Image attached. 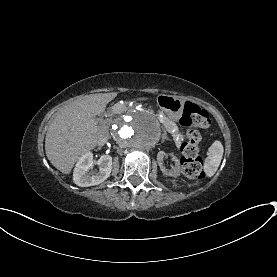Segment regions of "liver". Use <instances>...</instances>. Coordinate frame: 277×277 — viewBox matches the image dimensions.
Here are the masks:
<instances>
[{"instance_id":"1","label":"liver","mask_w":277,"mask_h":277,"mask_svg":"<svg viewBox=\"0 0 277 277\" xmlns=\"http://www.w3.org/2000/svg\"><path fill=\"white\" fill-rule=\"evenodd\" d=\"M118 92L85 96L59 113L45 136V152L50 163L61 173L71 174L76 162L110 138V126L99 123L101 115ZM139 101L150 100L138 97Z\"/></svg>"}]
</instances>
